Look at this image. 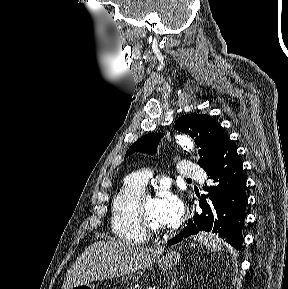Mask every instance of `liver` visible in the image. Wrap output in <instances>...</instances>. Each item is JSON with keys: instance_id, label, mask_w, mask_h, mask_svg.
<instances>
[{"instance_id": "6515ba94", "label": "liver", "mask_w": 288, "mask_h": 289, "mask_svg": "<svg viewBox=\"0 0 288 289\" xmlns=\"http://www.w3.org/2000/svg\"><path fill=\"white\" fill-rule=\"evenodd\" d=\"M164 248H140L115 240L89 246L66 273L63 289L130 274L153 265Z\"/></svg>"}]
</instances>
